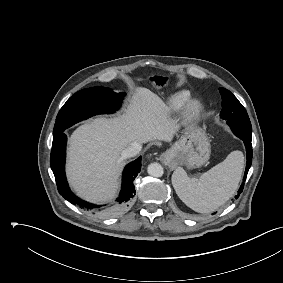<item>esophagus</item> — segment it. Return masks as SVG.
<instances>
[{
  "instance_id": "34e87169",
  "label": "esophagus",
  "mask_w": 283,
  "mask_h": 283,
  "mask_svg": "<svg viewBox=\"0 0 283 283\" xmlns=\"http://www.w3.org/2000/svg\"><path fill=\"white\" fill-rule=\"evenodd\" d=\"M162 159H163L164 161H166V160H167V155H166V154H163V155H162Z\"/></svg>"
}]
</instances>
